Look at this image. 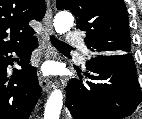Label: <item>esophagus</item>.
Listing matches in <instances>:
<instances>
[{
	"instance_id": "obj_1",
	"label": "esophagus",
	"mask_w": 142,
	"mask_h": 119,
	"mask_svg": "<svg viewBox=\"0 0 142 119\" xmlns=\"http://www.w3.org/2000/svg\"><path fill=\"white\" fill-rule=\"evenodd\" d=\"M51 34H53L52 9H51L50 3L48 2L46 14L43 19V30H42V35H41L45 58H50L53 56V49L49 41V37ZM39 84L41 88L43 89V91L45 92H49L55 88L54 82L42 76L39 77Z\"/></svg>"
}]
</instances>
